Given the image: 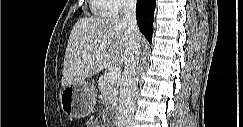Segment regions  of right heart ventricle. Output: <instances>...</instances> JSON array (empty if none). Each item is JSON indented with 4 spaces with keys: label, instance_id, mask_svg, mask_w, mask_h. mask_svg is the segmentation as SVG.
<instances>
[{
    "label": "right heart ventricle",
    "instance_id": "e07e8e85",
    "mask_svg": "<svg viewBox=\"0 0 243 127\" xmlns=\"http://www.w3.org/2000/svg\"><path fill=\"white\" fill-rule=\"evenodd\" d=\"M91 8L94 15L101 19H108L113 16V3L110 0H93Z\"/></svg>",
    "mask_w": 243,
    "mask_h": 127
}]
</instances>
